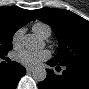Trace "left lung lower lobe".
<instances>
[{"instance_id": "obj_1", "label": "left lung lower lobe", "mask_w": 89, "mask_h": 89, "mask_svg": "<svg viewBox=\"0 0 89 89\" xmlns=\"http://www.w3.org/2000/svg\"><path fill=\"white\" fill-rule=\"evenodd\" d=\"M50 66L60 68L53 60L47 62ZM62 75H56L52 70L47 69V77L38 83L39 89H89V64L79 63L65 65Z\"/></svg>"}]
</instances>
